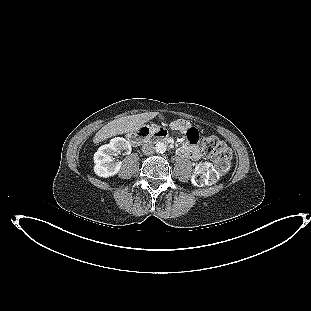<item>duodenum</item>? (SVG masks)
Wrapping results in <instances>:
<instances>
[{"label":"duodenum","instance_id":"obj_1","mask_svg":"<svg viewBox=\"0 0 311 311\" xmlns=\"http://www.w3.org/2000/svg\"><path fill=\"white\" fill-rule=\"evenodd\" d=\"M151 137H156L159 141H163L165 143L169 142L164 130L160 128L149 127H143L141 130L132 134V136L130 137V142L134 146H139L142 143L150 140Z\"/></svg>","mask_w":311,"mask_h":311}]
</instances>
